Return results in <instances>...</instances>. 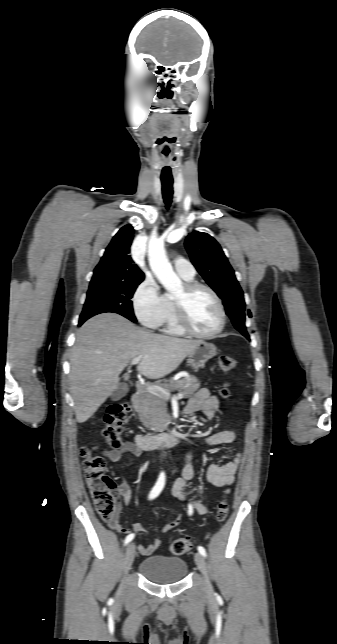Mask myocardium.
Instances as JSON below:
<instances>
[{
    "instance_id": "1",
    "label": "myocardium",
    "mask_w": 337,
    "mask_h": 644,
    "mask_svg": "<svg viewBox=\"0 0 337 644\" xmlns=\"http://www.w3.org/2000/svg\"><path fill=\"white\" fill-rule=\"evenodd\" d=\"M203 289L208 291L211 296L214 298L220 313V321L216 329L209 333H199L196 332L190 325L187 317V301L189 297L196 291ZM173 307L174 315L176 322L179 328L187 335L198 338V339H212L218 336L225 328L227 321V314L225 310L224 303L218 293L209 285L197 282L190 281L187 282L183 287V292L180 296H175L173 298Z\"/></svg>"
}]
</instances>
